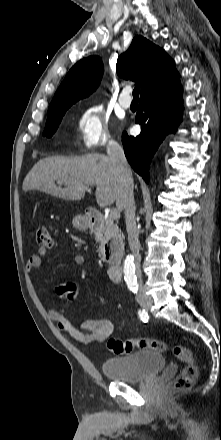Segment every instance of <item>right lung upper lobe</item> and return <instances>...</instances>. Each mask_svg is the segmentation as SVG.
<instances>
[{"label":"right lung upper lobe","mask_w":221,"mask_h":440,"mask_svg":"<svg viewBox=\"0 0 221 440\" xmlns=\"http://www.w3.org/2000/svg\"><path fill=\"white\" fill-rule=\"evenodd\" d=\"M174 64L163 49L137 35L129 49L117 59L116 71L120 77L137 82L143 97L164 89L179 78ZM102 74L100 57L81 59L66 75L48 110L71 106L87 97L100 84Z\"/></svg>","instance_id":"1"}]
</instances>
